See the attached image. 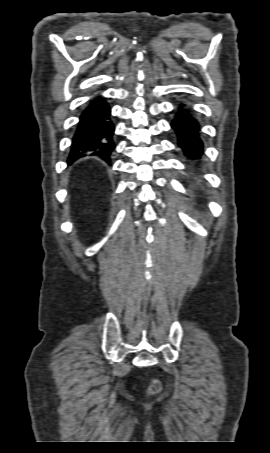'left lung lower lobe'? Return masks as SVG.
<instances>
[{
	"label": "left lung lower lobe",
	"instance_id": "0a47b994",
	"mask_svg": "<svg viewBox=\"0 0 270 453\" xmlns=\"http://www.w3.org/2000/svg\"><path fill=\"white\" fill-rule=\"evenodd\" d=\"M171 126L178 136V145L186 156H198L202 153L200 124L185 105L181 104L178 107Z\"/></svg>",
	"mask_w": 270,
	"mask_h": 453
}]
</instances>
